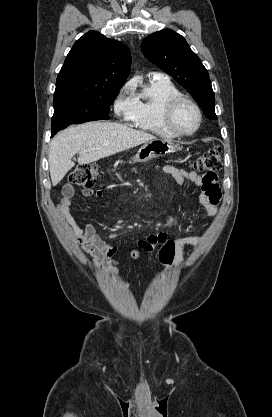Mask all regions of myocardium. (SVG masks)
I'll return each instance as SVG.
<instances>
[{"mask_svg":"<svg viewBox=\"0 0 272 417\" xmlns=\"http://www.w3.org/2000/svg\"><path fill=\"white\" fill-rule=\"evenodd\" d=\"M184 103L191 105L195 109L197 113V117H198L196 127L193 130L188 131V132L179 130L176 127L175 122H174L177 109L180 107V105ZM162 117H163V123L165 127L168 129V131H170L175 136H180V137L192 136L200 129L201 124H202V111L199 105L193 99L182 94L173 96L166 102L164 109H163Z\"/></svg>","mask_w":272,"mask_h":417,"instance_id":"f54148a6","label":"myocardium"}]
</instances>
